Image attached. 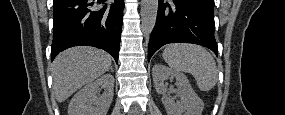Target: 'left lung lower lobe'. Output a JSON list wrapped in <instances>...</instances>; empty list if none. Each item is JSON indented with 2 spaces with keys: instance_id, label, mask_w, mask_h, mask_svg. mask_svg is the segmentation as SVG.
I'll use <instances>...</instances> for the list:
<instances>
[{
  "instance_id": "obj_1",
  "label": "left lung lower lobe",
  "mask_w": 285,
  "mask_h": 115,
  "mask_svg": "<svg viewBox=\"0 0 285 115\" xmlns=\"http://www.w3.org/2000/svg\"><path fill=\"white\" fill-rule=\"evenodd\" d=\"M214 0H159L155 27L148 45V60L168 43H193L215 54Z\"/></svg>"
}]
</instances>
